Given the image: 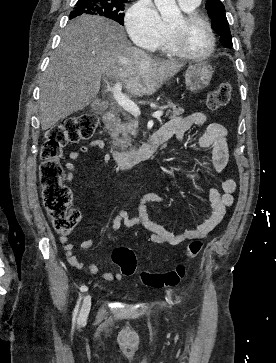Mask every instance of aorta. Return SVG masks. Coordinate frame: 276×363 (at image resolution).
<instances>
[{
    "label": "aorta",
    "mask_w": 276,
    "mask_h": 363,
    "mask_svg": "<svg viewBox=\"0 0 276 363\" xmlns=\"http://www.w3.org/2000/svg\"><path fill=\"white\" fill-rule=\"evenodd\" d=\"M154 2L165 23H172L182 18L175 0H154Z\"/></svg>",
    "instance_id": "762f6f07"
}]
</instances>
